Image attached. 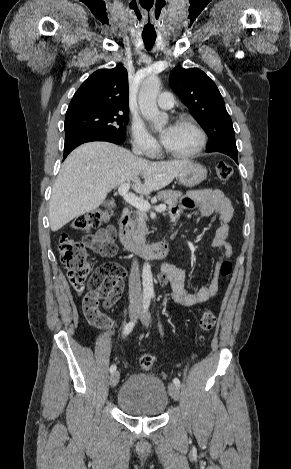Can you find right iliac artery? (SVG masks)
<instances>
[{
	"label": "right iliac artery",
	"mask_w": 291,
	"mask_h": 469,
	"mask_svg": "<svg viewBox=\"0 0 291 469\" xmlns=\"http://www.w3.org/2000/svg\"><path fill=\"white\" fill-rule=\"evenodd\" d=\"M150 299H151V296L150 295H144L143 297V311L142 313L146 312L150 306ZM135 323H136V320L134 321H131L129 323H127L123 329V335L126 336L128 335L134 328L135 326ZM116 371V365L113 364L111 365L110 367V372L113 373Z\"/></svg>",
	"instance_id": "obj_1"
}]
</instances>
